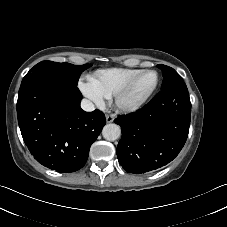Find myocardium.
I'll return each instance as SVG.
<instances>
[{
    "instance_id": "f54148a6",
    "label": "myocardium",
    "mask_w": 227,
    "mask_h": 227,
    "mask_svg": "<svg viewBox=\"0 0 227 227\" xmlns=\"http://www.w3.org/2000/svg\"><path fill=\"white\" fill-rule=\"evenodd\" d=\"M146 73H153L155 74L156 80L153 85V87L149 90V92L141 98L139 101L133 103V104H123L122 100L123 98L129 93L131 88L133 87L136 80L143 74ZM159 84V74L157 71L153 69H145L141 70L137 74H135L130 80H128L122 87H120L113 95V101L117 109L123 112H134L142 108L152 97L154 92L156 91Z\"/></svg>"
}]
</instances>
